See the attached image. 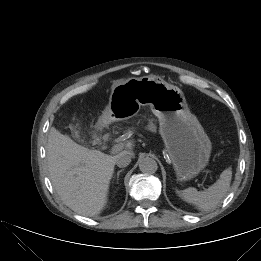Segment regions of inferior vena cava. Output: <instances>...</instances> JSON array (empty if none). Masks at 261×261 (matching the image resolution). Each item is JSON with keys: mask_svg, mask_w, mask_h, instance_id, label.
Instances as JSON below:
<instances>
[{"mask_svg": "<svg viewBox=\"0 0 261 261\" xmlns=\"http://www.w3.org/2000/svg\"><path fill=\"white\" fill-rule=\"evenodd\" d=\"M131 162V156L127 151H122L116 155L115 163L118 167H126Z\"/></svg>", "mask_w": 261, "mask_h": 261, "instance_id": "inferior-vena-cava-1", "label": "inferior vena cava"}]
</instances>
